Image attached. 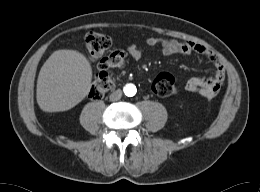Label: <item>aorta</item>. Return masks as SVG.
<instances>
[{
	"instance_id": "obj_1",
	"label": "aorta",
	"mask_w": 260,
	"mask_h": 192,
	"mask_svg": "<svg viewBox=\"0 0 260 192\" xmlns=\"http://www.w3.org/2000/svg\"><path fill=\"white\" fill-rule=\"evenodd\" d=\"M123 91L126 96L132 97L136 94L137 89L134 84L129 83L124 86Z\"/></svg>"
}]
</instances>
